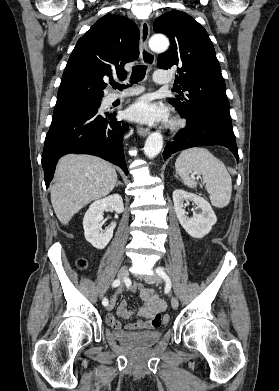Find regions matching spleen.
Returning <instances> with one entry per match:
<instances>
[{"mask_svg":"<svg viewBox=\"0 0 279 391\" xmlns=\"http://www.w3.org/2000/svg\"><path fill=\"white\" fill-rule=\"evenodd\" d=\"M175 169L189 188L197 187V181L190 174L201 175L213 206L224 208L229 204L232 193L231 176L224 163L206 148L193 147L182 151L175 162Z\"/></svg>","mask_w":279,"mask_h":391,"instance_id":"3e777b00","label":"spleen"}]
</instances>
